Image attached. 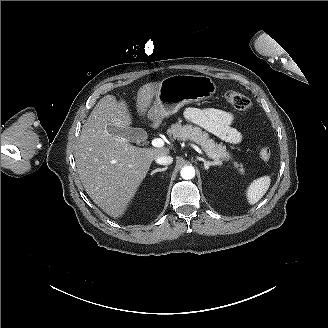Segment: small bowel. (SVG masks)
<instances>
[{
	"label": "small bowel",
	"mask_w": 328,
	"mask_h": 328,
	"mask_svg": "<svg viewBox=\"0 0 328 328\" xmlns=\"http://www.w3.org/2000/svg\"><path fill=\"white\" fill-rule=\"evenodd\" d=\"M185 118L212 133L219 139L238 144L242 141V133L233 126L234 113L213 107H189L185 110Z\"/></svg>",
	"instance_id": "small-bowel-1"
}]
</instances>
